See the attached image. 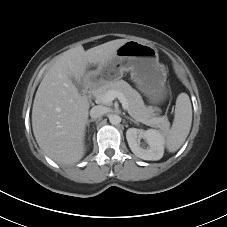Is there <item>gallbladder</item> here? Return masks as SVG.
<instances>
[{
    "label": "gallbladder",
    "instance_id": "gallbladder-1",
    "mask_svg": "<svg viewBox=\"0 0 227 227\" xmlns=\"http://www.w3.org/2000/svg\"><path fill=\"white\" fill-rule=\"evenodd\" d=\"M72 82L74 83V85L76 86V88L78 89V91L83 92V85L81 83H79L76 79L72 78Z\"/></svg>",
    "mask_w": 227,
    "mask_h": 227
}]
</instances>
